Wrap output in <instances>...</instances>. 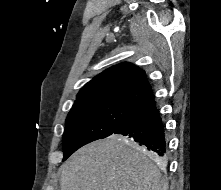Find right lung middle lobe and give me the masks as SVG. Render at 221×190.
<instances>
[{
  "label": "right lung middle lobe",
  "mask_w": 221,
  "mask_h": 190,
  "mask_svg": "<svg viewBox=\"0 0 221 190\" xmlns=\"http://www.w3.org/2000/svg\"><path fill=\"white\" fill-rule=\"evenodd\" d=\"M135 110L113 103L73 106L66 119L63 160L83 145L113 134Z\"/></svg>",
  "instance_id": "dd1d6c3e"
}]
</instances>
